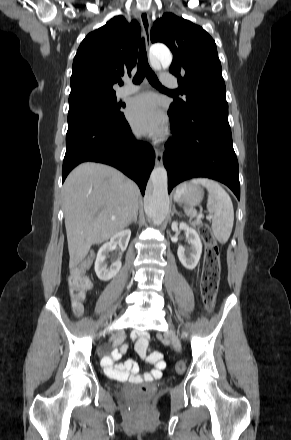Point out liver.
Listing matches in <instances>:
<instances>
[{"label":"liver","mask_w":291,"mask_h":440,"mask_svg":"<svg viewBox=\"0 0 291 440\" xmlns=\"http://www.w3.org/2000/svg\"><path fill=\"white\" fill-rule=\"evenodd\" d=\"M138 186L120 171L100 163L78 165L63 185V209L69 267L87 256L90 247L123 230L138 212Z\"/></svg>","instance_id":"6515ba94"}]
</instances>
